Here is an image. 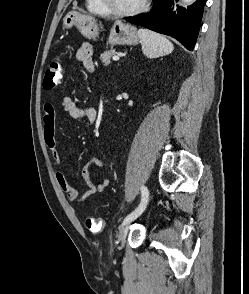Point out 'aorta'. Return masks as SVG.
I'll use <instances>...</instances> for the list:
<instances>
[{
	"mask_svg": "<svg viewBox=\"0 0 249 294\" xmlns=\"http://www.w3.org/2000/svg\"><path fill=\"white\" fill-rule=\"evenodd\" d=\"M182 1L186 4H191V3L195 2V0H182Z\"/></svg>",
	"mask_w": 249,
	"mask_h": 294,
	"instance_id": "obj_1",
	"label": "aorta"
}]
</instances>
